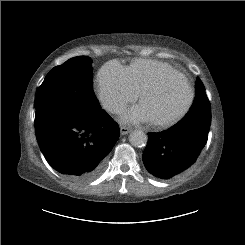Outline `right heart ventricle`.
Masks as SVG:
<instances>
[{
	"mask_svg": "<svg viewBox=\"0 0 245 245\" xmlns=\"http://www.w3.org/2000/svg\"><path fill=\"white\" fill-rule=\"evenodd\" d=\"M132 86L140 94L161 74L175 70L171 65L150 59H137L126 67Z\"/></svg>",
	"mask_w": 245,
	"mask_h": 245,
	"instance_id": "e07e8e85",
	"label": "right heart ventricle"
}]
</instances>
